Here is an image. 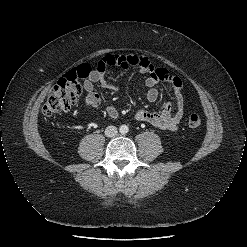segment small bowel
<instances>
[{
	"label": "small bowel",
	"instance_id": "c3829d8e",
	"mask_svg": "<svg viewBox=\"0 0 247 247\" xmlns=\"http://www.w3.org/2000/svg\"><path fill=\"white\" fill-rule=\"evenodd\" d=\"M131 66L138 67L141 72L146 73L148 77L145 80L146 97L148 101L155 102L159 97L157 86L159 83H165L172 87L174 91L175 103L165 102L162 109L158 112H152L145 109H139L135 113L138 121L150 123L158 128L166 130H176L185 113V96L181 79L172 75L167 69L155 66L147 55H119L107 54L98 63L97 68L91 70L84 80V89L87 92L85 104L91 108H97L100 104V96L94 90V84L98 83L105 89L119 90L120 86L110 82L105 74L108 67H118L127 69ZM107 115L111 119L118 117V111L115 106L109 105L106 109Z\"/></svg>",
	"mask_w": 247,
	"mask_h": 247
}]
</instances>
